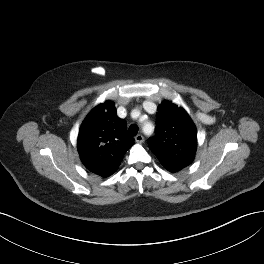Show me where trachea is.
Segmentation results:
<instances>
[{"instance_id": "trachea-1", "label": "trachea", "mask_w": 264, "mask_h": 264, "mask_svg": "<svg viewBox=\"0 0 264 264\" xmlns=\"http://www.w3.org/2000/svg\"><path fill=\"white\" fill-rule=\"evenodd\" d=\"M128 132H129V134H130L131 136H135V135H137V133H138V128H137V126H136V125H130V126H129V129H128Z\"/></svg>"}]
</instances>
